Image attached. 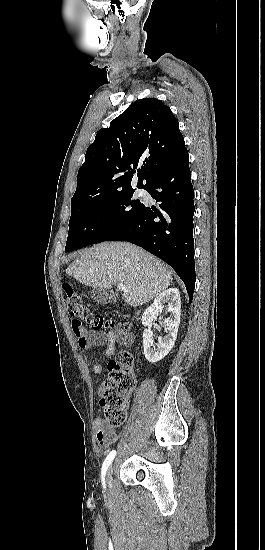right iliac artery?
<instances>
[{"mask_svg":"<svg viewBox=\"0 0 265 550\" xmlns=\"http://www.w3.org/2000/svg\"><path fill=\"white\" fill-rule=\"evenodd\" d=\"M115 455H116V451L115 450H112L108 456L106 457V459L104 460V463L102 465V471H101V477H102V481H103V486L105 488V474H106V471L108 469V467L110 466V464L112 463L113 459L115 458Z\"/></svg>","mask_w":265,"mask_h":550,"instance_id":"obj_1","label":"right iliac artery"}]
</instances>
